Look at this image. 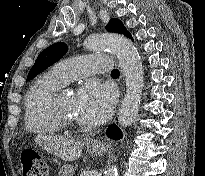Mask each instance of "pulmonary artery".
<instances>
[{
	"label": "pulmonary artery",
	"instance_id": "e3ab8cb5",
	"mask_svg": "<svg viewBox=\"0 0 205 176\" xmlns=\"http://www.w3.org/2000/svg\"><path fill=\"white\" fill-rule=\"evenodd\" d=\"M112 69L107 55L75 56L56 63L51 72L59 77L63 83L83 78L92 74H101Z\"/></svg>",
	"mask_w": 205,
	"mask_h": 176
}]
</instances>
